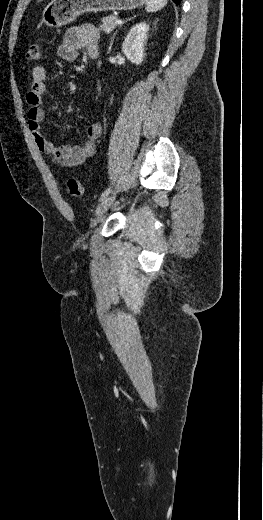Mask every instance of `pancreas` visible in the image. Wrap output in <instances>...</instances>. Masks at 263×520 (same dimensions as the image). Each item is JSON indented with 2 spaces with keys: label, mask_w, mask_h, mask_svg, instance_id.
Wrapping results in <instances>:
<instances>
[{
  "label": "pancreas",
  "mask_w": 263,
  "mask_h": 520,
  "mask_svg": "<svg viewBox=\"0 0 263 520\" xmlns=\"http://www.w3.org/2000/svg\"><path fill=\"white\" fill-rule=\"evenodd\" d=\"M116 20H118V17L115 15L103 17L101 20L102 24L100 25L99 28L102 31L109 33L117 27L118 24H116Z\"/></svg>",
  "instance_id": "pancreas-1"
}]
</instances>
